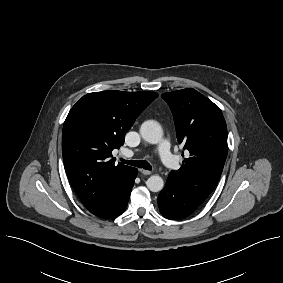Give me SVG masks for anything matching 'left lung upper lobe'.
Instances as JSON below:
<instances>
[{"instance_id": "obj_1", "label": "left lung upper lobe", "mask_w": 283, "mask_h": 283, "mask_svg": "<svg viewBox=\"0 0 283 283\" xmlns=\"http://www.w3.org/2000/svg\"><path fill=\"white\" fill-rule=\"evenodd\" d=\"M174 116L178 142L189 151L182 167L171 171L185 193L202 204L221 176L227 156V127L220 108L192 88L161 95Z\"/></svg>"}]
</instances>
